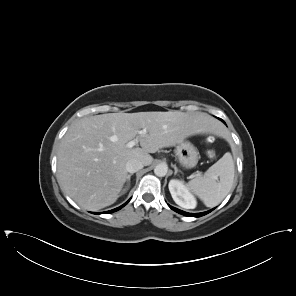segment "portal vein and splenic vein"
<instances>
[{
	"instance_id": "18ae733b",
	"label": "portal vein and splenic vein",
	"mask_w": 296,
	"mask_h": 296,
	"mask_svg": "<svg viewBox=\"0 0 296 296\" xmlns=\"http://www.w3.org/2000/svg\"><path fill=\"white\" fill-rule=\"evenodd\" d=\"M146 133H147L146 129H142V130L139 131V134H140V135H145ZM138 142H139L138 137H136L135 139L129 141V142L126 144V146H127L128 148H132V147H134L135 145H137Z\"/></svg>"
}]
</instances>
